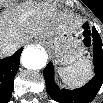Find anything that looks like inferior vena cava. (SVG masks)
<instances>
[{"instance_id": "obj_1", "label": "inferior vena cava", "mask_w": 103, "mask_h": 103, "mask_svg": "<svg viewBox=\"0 0 103 103\" xmlns=\"http://www.w3.org/2000/svg\"><path fill=\"white\" fill-rule=\"evenodd\" d=\"M13 47H15V44H14V43H5L4 46L1 45V49H2L4 52H7L8 49L13 48Z\"/></svg>"}]
</instances>
